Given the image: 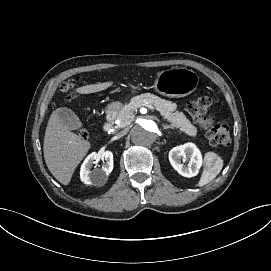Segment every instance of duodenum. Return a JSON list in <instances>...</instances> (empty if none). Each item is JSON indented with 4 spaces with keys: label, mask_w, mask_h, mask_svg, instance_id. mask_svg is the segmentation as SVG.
Listing matches in <instances>:
<instances>
[{
    "label": "duodenum",
    "mask_w": 271,
    "mask_h": 271,
    "mask_svg": "<svg viewBox=\"0 0 271 271\" xmlns=\"http://www.w3.org/2000/svg\"><path fill=\"white\" fill-rule=\"evenodd\" d=\"M114 121H115V112L114 111L108 112L106 115L104 125H103V129L105 132H108L111 130V128L113 127Z\"/></svg>",
    "instance_id": "1"
}]
</instances>
